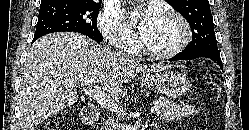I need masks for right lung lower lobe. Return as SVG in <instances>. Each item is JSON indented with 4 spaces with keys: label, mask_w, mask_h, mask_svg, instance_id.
<instances>
[{
    "label": "right lung lower lobe",
    "mask_w": 249,
    "mask_h": 130,
    "mask_svg": "<svg viewBox=\"0 0 249 130\" xmlns=\"http://www.w3.org/2000/svg\"><path fill=\"white\" fill-rule=\"evenodd\" d=\"M87 36V35H86ZM89 37V36H88ZM39 37H34V39H33V41H32V43L35 41V40H37ZM91 38V37H90ZM94 40V39H93ZM96 41V40H95ZM98 42V41H97Z\"/></svg>",
    "instance_id": "obj_1"
}]
</instances>
